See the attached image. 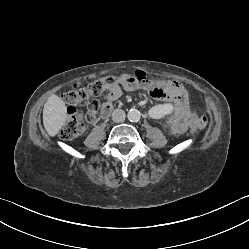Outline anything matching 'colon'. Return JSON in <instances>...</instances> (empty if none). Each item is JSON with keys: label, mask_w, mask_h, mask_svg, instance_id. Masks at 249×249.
Segmentation results:
<instances>
[{"label": "colon", "mask_w": 249, "mask_h": 249, "mask_svg": "<svg viewBox=\"0 0 249 249\" xmlns=\"http://www.w3.org/2000/svg\"><path fill=\"white\" fill-rule=\"evenodd\" d=\"M122 79L116 76H108L90 83L87 87H76L63 95L64 102L68 105V116L60 130L63 139H74L83 135L87 129L86 122L96 121L98 114L103 110L99 102L89 100L91 96H98L103 91L119 84ZM162 97V94H161ZM86 105V116L77 111L76 106ZM209 125L207 116H198L194 119V126L198 129H205Z\"/></svg>", "instance_id": "colon-1"}]
</instances>
